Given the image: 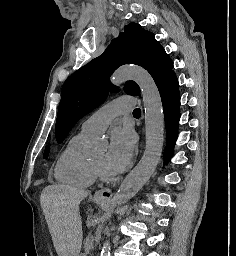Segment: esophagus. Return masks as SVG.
I'll list each match as a JSON object with an SVG mask.
<instances>
[{"label": "esophagus", "mask_w": 236, "mask_h": 256, "mask_svg": "<svg viewBox=\"0 0 236 256\" xmlns=\"http://www.w3.org/2000/svg\"><path fill=\"white\" fill-rule=\"evenodd\" d=\"M113 193L110 188H101L96 191L94 198L98 200H109L112 197Z\"/></svg>", "instance_id": "esophagus-1"}]
</instances>
